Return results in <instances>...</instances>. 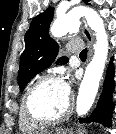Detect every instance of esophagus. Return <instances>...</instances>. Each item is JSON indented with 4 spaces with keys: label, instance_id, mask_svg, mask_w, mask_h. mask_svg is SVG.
<instances>
[{
    "label": "esophagus",
    "instance_id": "obj_1",
    "mask_svg": "<svg viewBox=\"0 0 116 134\" xmlns=\"http://www.w3.org/2000/svg\"><path fill=\"white\" fill-rule=\"evenodd\" d=\"M82 34L83 36L86 38L87 42H88V57L89 59L91 58L92 56V53H93V42H94V39H93V35L91 33V31L89 30L88 26L86 24H84L83 28H82Z\"/></svg>",
    "mask_w": 116,
    "mask_h": 134
}]
</instances>
